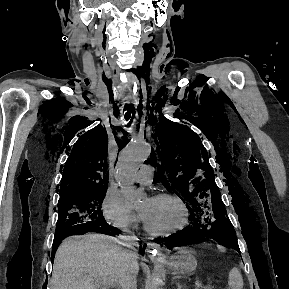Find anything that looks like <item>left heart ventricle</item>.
<instances>
[{"instance_id": "1", "label": "left heart ventricle", "mask_w": 289, "mask_h": 289, "mask_svg": "<svg viewBox=\"0 0 289 289\" xmlns=\"http://www.w3.org/2000/svg\"><path fill=\"white\" fill-rule=\"evenodd\" d=\"M139 211L144 221L155 231H167L180 226L184 220L181 207L172 200L145 199Z\"/></svg>"}]
</instances>
